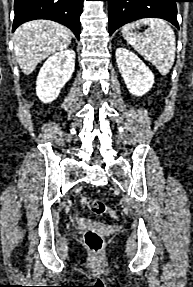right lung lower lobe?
Here are the masks:
<instances>
[{
    "label": "right lung lower lobe",
    "instance_id": "obj_1",
    "mask_svg": "<svg viewBox=\"0 0 193 287\" xmlns=\"http://www.w3.org/2000/svg\"><path fill=\"white\" fill-rule=\"evenodd\" d=\"M83 0H15L13 31L22 23L48 19L70 28L80 38Z\"/></svg>",
    "mask_w": 193,
    "mask_h": 287
}]
</instances>
